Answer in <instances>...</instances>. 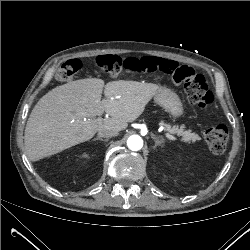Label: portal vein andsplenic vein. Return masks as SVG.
Instances as JSON below:
<instances>
[{
    "label": "portal vein and splenic vein",
    "instance_id": "obj_1",
    "mask_svg": "<svg viewBox=\"0 0 250 250\" xmlns=\"http://www.w3.org/2000/svg\"><path fill=\"white\" fill-rule=\"evenodd\" d=\"M166 137L169 138L170 140H177L176 137H174V136H172V135H170L168 133H166Z\"/></svg>",
    "mask_w": 250,
    "mask_h": 250
}]
</instances>
